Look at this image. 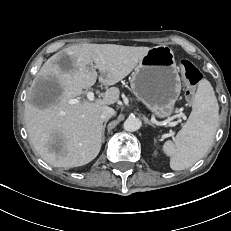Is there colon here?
Listing matches in <instances>:
<instances>
[{
    "label": "colon",
    "mask_w": 231,
    "mask_h": 231,
    "mask_svg": "<svg viewBox=\"0 0 231 231\" xmlns=\"http://www.w3.org/2000/svg\"><path fill=\"white\" fill-rule=\"evenodd\" d=\"M181 75L188 84L185 95L189 98L193 93V87L196 86L203 78L200 70L188 60L180 62Z\"/></svg>",
    "instance_id": "colon-1"
}]
</instances>
